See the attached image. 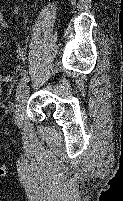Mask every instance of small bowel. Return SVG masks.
Segmentation results:
<instances>
[{"mask_svg":"<svg viewBox=\"0 0 123 201\" xmlns=\"http://www.w3.org/2000/svg\"><path fill=\"white\" fill-rule=\"evenodd\" d=\"M3 28H6V25L2 22H0ZM10 36L14 42L15 49H16V56L19 60H24L26 58V51L23 48V46L20 44V42L17 40L16 36L13 33H10ZM21 65L15 66V68L12 71V75L18 74L21 71ZM11 75H8L7 77H10Z\"/></svg>","mask_w":123,"mask_h":201,"instance_id":"small-bowel-1","label":"small bowel"}]
</instances>
